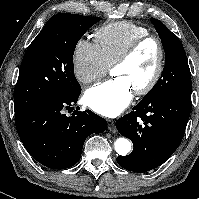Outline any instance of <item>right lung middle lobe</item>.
I'll use <instances>...</instances> for the list:
<instances>
[{"instance_id": "obj_1", "label": "right lung middle lobe", "mask_w": 199, "mask_h": 199, "mask_svg": "<svg viewBox=\"0 0 199 199\" xmlns=\"http://www.w3.org/2000/svg\"><path fill=\"white\" fill-rule=\"evenodd\" d=\"M99 17L61 13L51 17L23 57L14 91L15 117L50 101L81 93L73 54L79 39Z\"/></svg>"}]
</instances>
